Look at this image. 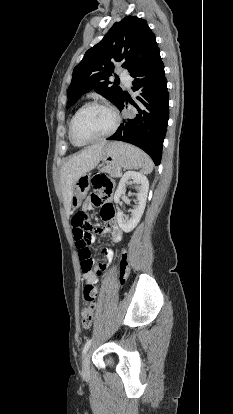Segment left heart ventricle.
<instances>
[{"instance_id": "obj_1", "label": "left heart ventricle", "mask_w": 233, "mask_h": 414, "mask_svg": "<svg viewBox=\"0 0 233 414\" xmlns=\"http://www.w3.org/2000/svg\"><path fill=\"white\" fill-rule=\"evenodd\" d=\"M112 123L113 117L107 110L90 108L78 117L74 126V135L80 141L93 139L106 133Z\"/></svg>"}]
</instances>
